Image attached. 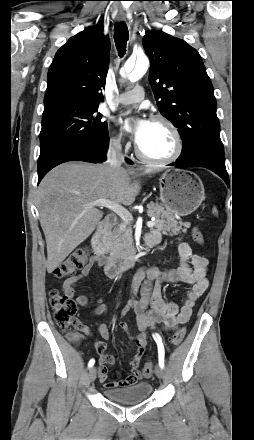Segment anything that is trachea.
<instances>
[{"instance_id": "3493384b", "label": "trachea", "mask_w": 254, "mask_h": 440, "mask_svg": "<svg viewBox=\"0 0 254 440\" xmlns=\"http://www.w3.org/2000/svg\"><path fill=\"white\" fill-rule=\"evenodd\" d=\"M129 39L128 28L124 22L116 23L114 26V41L119 56L126 52V44Z\"/></svg>"}]
</instances>
